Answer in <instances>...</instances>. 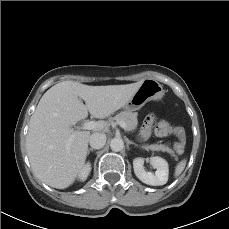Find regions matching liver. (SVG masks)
I'll use <instances>...</instances> for the list:
<instances>
[{
  "label": "liver",
  "instance_id": "6515ba94",
  "mask_svg": "<svg viewBox=\"0 0 229 229\" xmlns=\"http://www.w3.org/2000/svg\"><path fill=\"white\" fill-rule=\"evenodd\" d=\"M142 82L90 86L63 81L47 90L30 118L26 137L28 158L37 178L57 189L73 184L84 167L91 135L71 126L85 119L88 112L98 119L110 116L129 102ZM100 123L96 133L104 129Z\"/></svg>",
  "mask_w": 229,
  "mask_h": 229
}]
</instances>
